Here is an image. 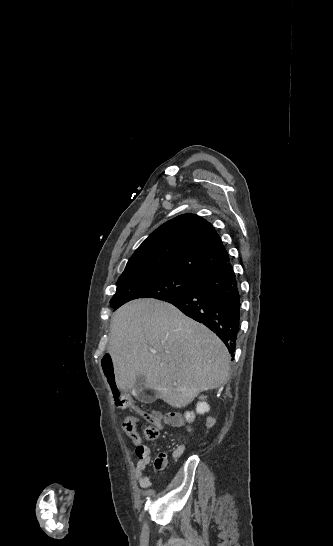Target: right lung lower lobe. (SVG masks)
<instances>
[{
  "label": "right lung lower lobe",
  "mask_w": 333,
  "mask_h": 546,
  "mask_svg": "<svg viewBox=\"0 0 333 546\" xmlns=\"http://www.w3.org/2000/svg\"><path fill=\"white\" fill-rule=\"evenodd\" d=\"M164 301L211 329L234 356L241 303L238 282L229 262L205 274L190 291Z\"/></svg>",
  "instance_id": "obj_1"
}]
</instances>
